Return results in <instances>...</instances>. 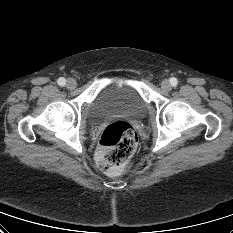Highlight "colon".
<instances>
[{
	"label": "colon",
	"instance_id": "1",
	"mask_svg": "<svg viewBox=\"0 0 233 233\" xmlns=\"http://www.w3.org/2000/svg\"><path fill=\"white\" fill-rule=\"evenodd\" d=\"M137 144L138 136L130 123L123 120L110 123L99 141L98 167L107 173L118 172L132 157Z\"/></svg>",
	"mask_w": 233,
	"mask_h": 233
}]
</instances>
